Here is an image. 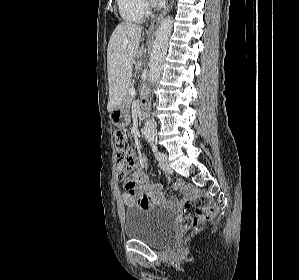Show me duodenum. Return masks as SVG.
<instances>
[{"label":"duodenum","instance_id":"1","mask_svg":"<svg viewBox=\"0 0 299 280\" xmlns=\"http://www.w3.org/2000/svg\"><path fill=\"white\" fill-rule=\"evenodd\" d=\"M140 108H141V113H142L143 117H146L147 112H148V106H147V102L145 99L141 100Z\"/></svg>","mask_w":299,"mask_h":280}]
</instances>
